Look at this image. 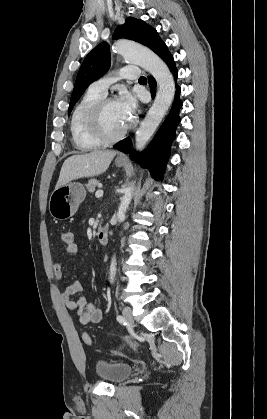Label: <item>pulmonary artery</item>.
Returning a JSON list of instances; mask_svg holds the SVG:
<instances>
[{
    "label": "pulmonary artery",
    "mask_w": 267,
    "mask_h": 419,
    "mask_svg": "<svg viewBox=\"0 0 267 419\" xmlns=\"http://www.w3.org/2000/svg\"><path fill=\"white\" fill-rule=\"evenodd\" d=\"M139 69L135 66H125L119 69L114 77H104L95 81L90 88L102 94H106L111 83L119 78L136 80L139 78Z\"/></svg>",
    "instance_id": "1"
}]
</instances>
